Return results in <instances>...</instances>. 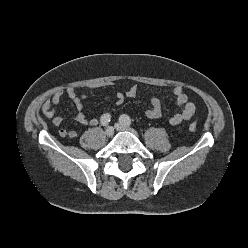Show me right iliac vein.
Masks as SVG:
<instances>
[{"instance_id":"1","label":"right iliac vein","mask_w":248,"mask_h":248,"mask_svg":"<svg viewBox=\"0 0 248 248\" xmlns=\"http://www.w3.org/2000/svg\"><path fill=\"white\" fill-rule=\"evenodd\" d=\"M106 136L107 137H112L113 135H114V128L113 127H108L107 129H106Z\"/></svg>"}]
</instances>
